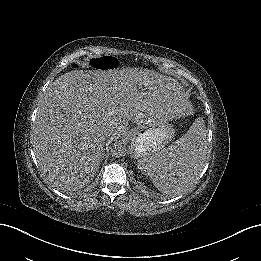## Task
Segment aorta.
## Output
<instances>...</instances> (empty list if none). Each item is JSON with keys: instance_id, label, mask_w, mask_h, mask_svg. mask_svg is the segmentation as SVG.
Instances as JSON below:
<instances>
[{"instance_id": "1", "label": "aorta", "mask_w": 261, "mask_h": 261, "mask_svg": "<svg viewBox=\"0 0 261 261\" xmlns=\"http://www.w3.org/2000/svg\"><path fill=\"white\" fill-rule=\"evenodd\" d=\"M124 154V147L122 145L115 146L113 150V156L114 157H121Z\"/></svg>"}]
</instances>
